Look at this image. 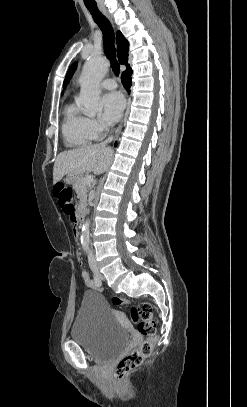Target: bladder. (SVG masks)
Listing matches in <instances>:
<instances>
[{"mask_svg": "<svg viewBox=\"0 0 247 407\" xmlns=\"http://www.w3.org/2000/svg\"><path fill=\"white\" fill-rule=\"evenodd\" d=\"M74 342L99 359L119 354L129 341V331L97 291H86L71 329Z\"/></svg>", "mask_w": 247, "mask_h": 407, "instance_id": "31cf9c89", "label": "bladder"}]
</instances>
